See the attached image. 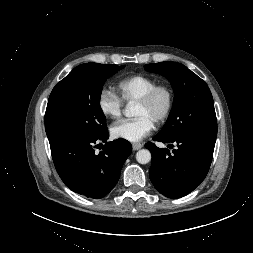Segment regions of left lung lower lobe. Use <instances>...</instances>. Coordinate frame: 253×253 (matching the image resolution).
<instances>
[{
	"label": "left lung lower lobe",
	"instance_id": "left-lung-lower-lobe-1",
	"mask_svg": "<svg viewBox=\"0 0 253 253\" xmlns=\"http://www.w3.org/2000/svg\"><path fill=\"white\" fill-rule=\"evenodd\" d=\"M153 140L169 143V148L172 143L177 145L170 153L152 142L145 144L152 154L149 177L161 194L180 198L201 184L209 171L216 139L194 134L166 139L157 134Z\"/></svg>",
	"mask_w": 253,
	"mask_h": 253
}]
</instances>
